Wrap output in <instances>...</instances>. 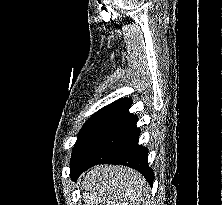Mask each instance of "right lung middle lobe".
<instances>
[{"label":"right lung middle lobe","instance_id":"right-lung-middle-lobe-1","mask_svg":"<svg viewBox=\"0 0 222 205\" xmlns=\"http://www.w3.org/2000/svg\"><path fill=\"white\" fill-rule=\"evenodd\" d=\"M106 112H97L92 115L88 121L84 124L81 131L79 132L77 141L73 148L72 160L71 164L74 161L75 157L78 155L85 141L88 139L90 133L94 130V128L99 124V122L106 116Z\"/></svg>","mask_w":222,"mask_h":205}]
</instances>
